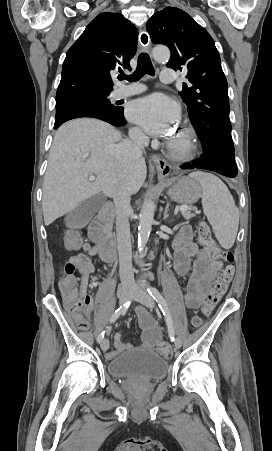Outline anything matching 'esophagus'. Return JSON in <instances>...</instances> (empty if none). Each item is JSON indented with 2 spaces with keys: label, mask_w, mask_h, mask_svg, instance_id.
Returning a JSON list of instances; mask_svg holds the SVG:
<instances>
[{
  "label": "esophagus",
  "mask_w": 272,
  "mask_h": 451,
  "mask_svg": "<svg viewBox=\"0 0 272 451\" xmlns=\"http://www.w3.org/2000/svg\"><path fill=\"white\" fill-rule=\"evenodd\" d=\"M139 43L141 44V47L144 50H149L150 45V37L148 33L144 30H141L139 33ZM151 162L155 165L158 173L164 178L169 175L171 171V165L164 160V158H161L158 155H151Z\"/></svg>",
  "instance_id": "1"
}]
</instances>
